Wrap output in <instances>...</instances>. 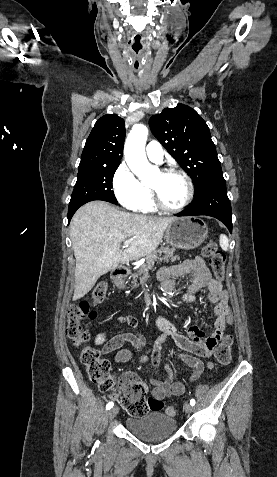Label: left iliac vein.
I'll list each match as a JSON object with an SVG mask.
<instances>
[{
    "instance_id": "4c4485c4",
    "label": "left iliac vein",
    "mask_w": 277,
    "mask_h": 477,
    "mask_svg": "<svg viewBox=\"0 0 277 477\" xmlns=\"http://www.w3.org/2000/svg\"><path fill=\"white\" fill-rule=\"evenodd\" d=\"M183 408L186 413H191L193 411V406L188 402L184 404Z\"/></svg>"
}]
</instances>
